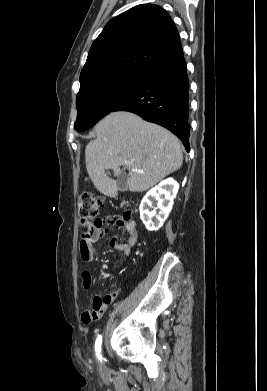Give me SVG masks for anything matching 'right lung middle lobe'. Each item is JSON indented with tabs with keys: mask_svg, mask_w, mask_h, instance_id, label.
<instances>
[{
	"mask_svg": "<svg viewBox=\"0 0 267 391\" xmlns=\"http://www.w3.org/2000/svg\"><path fill=\"white\" fill-rule=\"evenodd\" d=\"M146 77L147 73L119 71L88 80L80 87L77 95L75 129L81 132L91 128L136 91Z\"/></svg>",
	"mask_w": 267,
	"mask_h": 391,
	"instance_id": "obj_1",
	"label": "right lung middle lobe"
}]
</instances>
